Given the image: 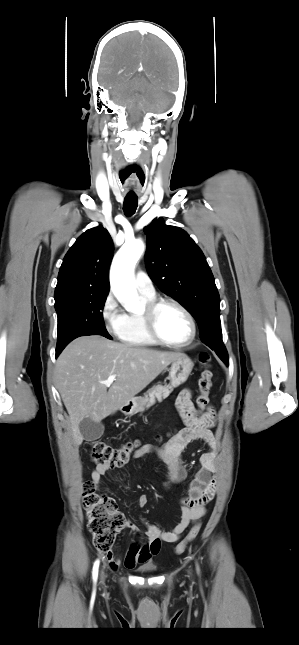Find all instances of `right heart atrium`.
I'll return each mask as SVG.
<instances>
[{
  "label": "right heart atrium",
  "instance_id": "obj_1",
  "mask_svg": "<svg viewBox=\"0 0 299 645\" xmlns=\"http://www.w3.org/2000/svg\"><path fill=\"white\" fill-rule=\"evenodd\" d=\"M100 314L106 331L111 335L117 336L123 325L124 314L111 292L105 296Z\"/></svg>",
  "mask_w": 299,
  "mask_h": 645
}]
</instances>
